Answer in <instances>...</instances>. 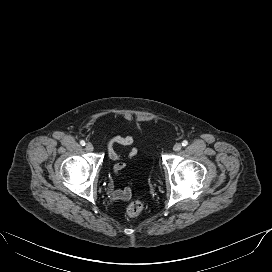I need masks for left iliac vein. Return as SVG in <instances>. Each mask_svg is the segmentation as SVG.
I'll return each instance as SVG.
<instances>
[{
  "instance_id": "obj_1",
  "label": "left iliac vein",
  "mask_w": 272,
  "mask_h": 272,
  "mask_svg": "<svg viewBox=\"0 0 272 272\" xmlns=\"http://www.w3.org/2000/svg\"><path fill=\"white\" fill-rule=\"evenodd\" d=\"M182 148V145L180 143H176L174 146H173V150L174 151H180Z\"/></svg>"
}]
</instances>
